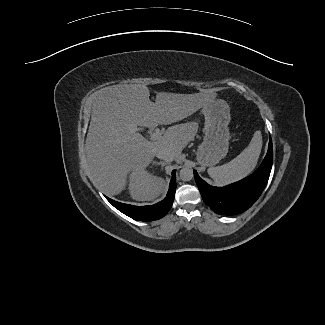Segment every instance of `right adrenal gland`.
Instances as JSON below:
<instances>
[{"instance_id":"2a0ac1e0","label":"right adrenal gland","mask_w":325,"mask_h":325,"mask_svg":"<svg viewBox=\"0 0 325 325\" xmlns=\"http://www.w3.org/2000/svg\"><path fill=\"white\" fill-rule=\"evenodd\" d=\"M153 165H161V168L163 169V167H164L165 165H167V162H163V161H159V162H157V161H153Z\"/></svg>"}]
</instances>
